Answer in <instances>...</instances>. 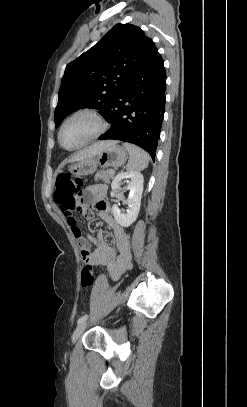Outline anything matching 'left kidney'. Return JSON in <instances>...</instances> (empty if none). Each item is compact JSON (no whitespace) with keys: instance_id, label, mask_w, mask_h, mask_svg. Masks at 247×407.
<instances>
[{"instance_id":"left-kidney-1","label":"left kidney","mask_w":247,"mask_h":407,"mask_svg":"<svg viewBox=\"0 0 247 407\" xmlns=\"http://www.w3.org/2000/svg\"><path fill=\"white\" fill-rule=\"evenodd\" d=\"M125 179L130 180L128 181L129 184L127 186L129 196L124 201L128 205V209L126 210V213H122L117 205H113L112 207L113 216L117 223L122 227L130 226L137 219L141 205L144 183L143 175L138 171L119 173L111 183V197L115 196L117 190L120 188L121 181Z\"/></svg>"}]
</instances>
